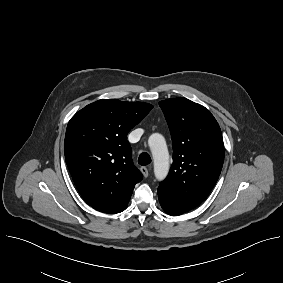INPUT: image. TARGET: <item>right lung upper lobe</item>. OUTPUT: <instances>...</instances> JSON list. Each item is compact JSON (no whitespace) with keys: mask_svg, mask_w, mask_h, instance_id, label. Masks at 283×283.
<instances>
[{"mask_svg":"<svg viewBox=\"0 0 283 283\" xmlns=\"http://www.w3.org/2000/svg\"><path fill=\"white\" fill-rule=\"evenodd\" d=\"M153 108L143 102L101 99L69 121L65 160L87 204L105 213L126 209L142 174L133 165L128 132Z\"/></svg>","mask_w":283,"mask_h":283,"instance_id":"1","label":"right lung upper lobe"}]
</instances>
